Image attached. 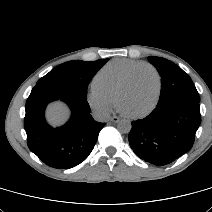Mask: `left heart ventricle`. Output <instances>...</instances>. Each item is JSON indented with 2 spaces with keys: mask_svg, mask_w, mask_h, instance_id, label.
<instances>
[{
  "mask_svg": "<svg viewBox=\"0 0 212 212\" xmlns=\"http://www.w3.org/2000/svg\"><path fill=\"white\" fill-rule=\"evenodd\" d=\"M157 91V80L152 70L140 69L121 99V108L126 113L136 114L148 109Z\"/></svg>",
  "mask_w": 212,
  "mask_h": 212,
  "instance_id": "left-heart-ventricle-1",
  "label": "left heart ventricle"
}]
</instances>
